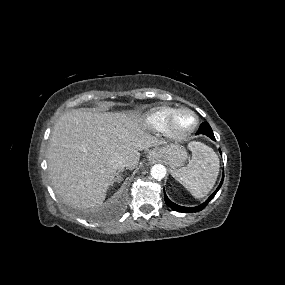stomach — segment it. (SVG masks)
Here are the masks:
<instances>
[{
  "label": "stomach",
  "instance_id": "1",
  "mask_svg": "<svg viewBox=\"0 0 285 285\" xmlns=\"http://www.w3.org/2000/svg\"><path fill=\"white\" fill-rule=\"evenodd\" d=\"M158 158L167 161L173 169L181 166L187 158L186 150L178 144H170L152 151Z\"/></svg>",
  "mask_w": 285,
  "mask_h": 285
}]
</instances>
